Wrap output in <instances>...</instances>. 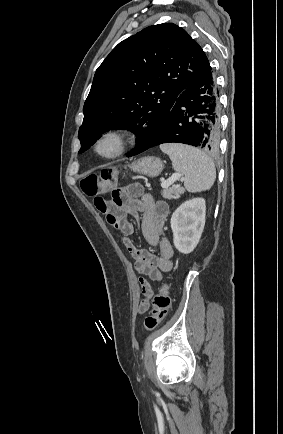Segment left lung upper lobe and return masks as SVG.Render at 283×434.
<instances>
[{
    "instance_id": "1",
    "label": "left lung upper lobe",
    "mask_w": 283,
    "mask_h": 434,
    "mask_svg": "<svg viewBox=\"0 0 283 434\" xmlns=\"http://www.w3.org/2000/svg\"><path fill=\"white\" fill-rule=\"evenodd\" d=\"M210 69L199 44L175 24L150 26L123 40L94 75L83 107L79 153L110 129L135 133L132 154L146 148L183 90Z\"/></svg>"
}]
</instances>
